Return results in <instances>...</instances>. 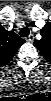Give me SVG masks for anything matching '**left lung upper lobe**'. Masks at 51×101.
I'll return each mask as SVG.
<instances>
[{
  "label": "left lung upper lobe",
  "instance_id": "1",
  "mask_svg": "<svg viewBox=\"0 0 51 101\" xmlns=\"http://www.w3.org/2000/svg\"><path fill=\"white\" fill-rule=\"evenodd\" d=\"M42 38L34 42V46L42 53L44 58L51 62V23L45 24L40 30Z\"/></svg>",
  "mask_w": 51,
  "mask_h": 101
}]
</instances>
